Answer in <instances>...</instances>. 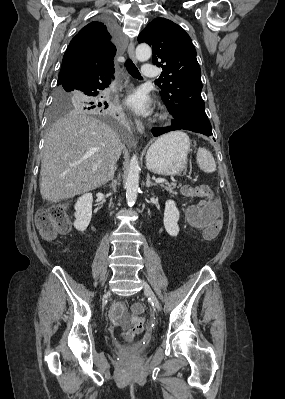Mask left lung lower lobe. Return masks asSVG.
I'll use <instances>...</instances> for the list:
<instances>
[{"label": "left lung lower lobe", "mask_w": 285, "mask_h": 399, "mask_svg": "<svg viewBox=\"0 0 285 399\" xmlns=\"http://www.w3.org/2000/svg\"><path fill=\"white\" fill-rule=\"evenodd\" d=\"M182 129H184V128H181L175 124H172L171 126L164 127V128H155L152 130V133H153V136H159V135H162V134L170 132V131L182 130Z\"/></svg>", "instance_id": "1"}]
</instances>
